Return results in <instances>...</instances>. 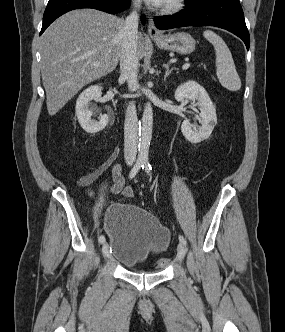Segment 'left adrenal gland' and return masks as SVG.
<instances>
[{
    "instance_id": "left-adrenal-gland-1",
    "label": "left adrenal gland",
    "mask_w": 285,
    "mask_h": 332,
    "mask_svg": "<svg viewBox=\"0 0 285 332\" xmlns=\"http://www.w3.org/2000/svg\"><path fill=\"white\" fill-rule=\"evenodd\" d=\"M163 67L166 69L165 71V75H164V81L166 80V78L169 76V74L171 73V71L175 70L176 68H171L170 69V65L169 64H164Z\"/></svg>"
}]
</instances>
